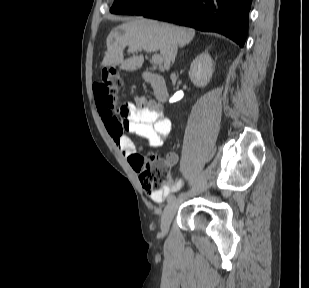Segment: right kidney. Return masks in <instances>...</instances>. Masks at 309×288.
I'll return each instance as SVG.
<instances>
[{
    "instance_id": "1",
    "label": "right kidney",
    "mask_w": 309,
    "mask_h": 288,
    "mask_svg": "<svg viewBox=\"0 0 309 288\" xmlns=\"http://www.w3.org/2000/svg\"><path fill=\"white\" fill-rule=\"evenodd\" d=\"M213 74V62L210 55L205 52L200 54L191 63L189 77L197 87H205Z\"/></svg>"
}]
</instances>
